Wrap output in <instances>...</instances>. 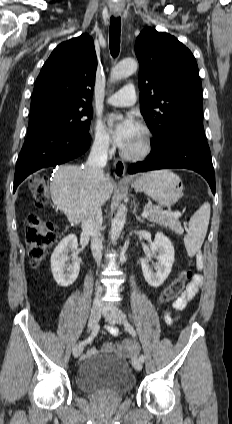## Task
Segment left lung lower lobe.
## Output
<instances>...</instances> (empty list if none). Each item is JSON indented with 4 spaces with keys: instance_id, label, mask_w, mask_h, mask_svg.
<instances>
[{
    "instance_id": "left-lung-lower-lobe-1",
    "label": "left lung lower lobe",
    "mask_w": 232,
    "mask_h": 424,
    "mask_svg": "<svg viewBox=\"0 0 232 424\" xmlns=\"http://www.w3.org/2000/svg\"><path fill=\"white\" fill-rule=\"evenodd\" d=\"M151 148L145 161L129 167L130 174L164 168H186L201 174L215 194V174L202 118L175 122L161 139L151 142Z\"/></svg>"
}]
</instances>
